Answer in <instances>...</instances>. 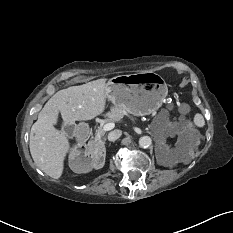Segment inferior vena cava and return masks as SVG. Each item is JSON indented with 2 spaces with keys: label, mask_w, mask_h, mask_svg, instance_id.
<instances>
[{
  "label": "inferior vena cava",
  "mask_w": 233,
  "mask_h": 233,
  "mask_svg": "<svg viewBox=\"0 0 233 233\" xmlns=\"http://www.w3.org/2000/svg\"><path fill=\"white\" fill-rule=\"evenodd\" d=\"M121 134H122L121 130L111 131L108 134V140L109 141H115V140H117L121 136Z\"/></svg>",
  "instance_id": "602c4592"
}]
</instances>
